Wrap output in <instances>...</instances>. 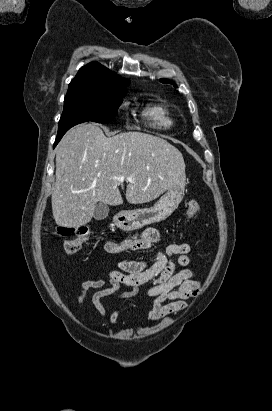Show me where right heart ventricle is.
I'll return each mask as SVG.
<instances>
[{
  "instance_id": "e07e8e85",
  "label": "right heart ventricle",
  "mask_w": 272,
  "mask_h": 411,
  "mask_svg": "<svg viewBox=\"0 0 272 411\" xmlns=\"http://www.w3.org/2000/svg\"><path fill=\"white\" fill-rule=\"evenodd\" d=\"M144 115L159 127L168 128L173 124L168 110L161 105L153 104L148 106L144 110Z\"/></svg>"
}]
</instances>
